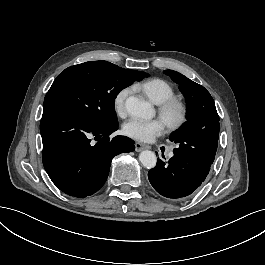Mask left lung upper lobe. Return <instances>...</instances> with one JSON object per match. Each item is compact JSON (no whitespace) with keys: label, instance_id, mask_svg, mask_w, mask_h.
Masks as SVG:
<instances>
[{"label":"left lung upper lobe","instance_id":"obj_1","mask_svg":"<svg viewBox=\"0 0 265 265\" xmlns=\"http://www.w3.org/2000/svg\"><path fill=\"white\" fill-rule=\"evenodd\" d=\"M164 73L179 85L187 103V121L170 135V140L178 143L173 153L210 171L220 130L214 100L203 86L184 75L173 70H165Z\"/></svg>","mask_w":265,"mask_h":265}]
</instances>
